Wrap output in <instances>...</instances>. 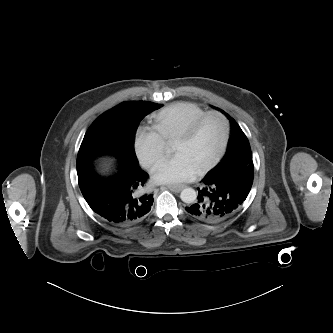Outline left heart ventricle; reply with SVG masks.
Instances as JSON below:
<instances>
[{
	"mask_svg": "<svg viewBox=\"0 0 333 333\" xmlns=\"http://www.w3.org/2000/svg\"><path fill=\"white\" fill-rule=\"evenodd\" d=\"M223 137V121L217 116H210L200 125L190 140H175L173 152L184 155L199 170L217 155Z\"/></svg>",
	"mask_w": 333,
	"mask_h": 333,
	"instance_id": "1",
	"label": "left heart ventricle"
}]
</instances>
